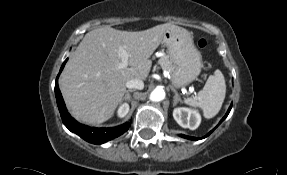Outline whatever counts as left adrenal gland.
I'll return each mask as SVG.
<instances>
[{
  "label": "left adrenal gland",
  "instance_id": "a2214340",
  "mask_svg": "<svg viewBox=\"0 0 287 175\" xmlns=\"http://www.w3.org/2000/svg\"><path fill=\"white\" fill-rule=\"evenodd\" d=\"M172 91L174 92L173 106H175L178 102L181 101V99H180V96L175 89L172 88Z\"/></svg>",
  "mask_w": 287,
  "mask_h": 175
}]
</instances>
